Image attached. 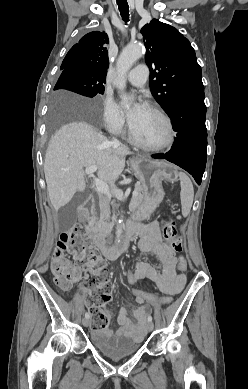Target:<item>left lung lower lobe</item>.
I'll return each mask as SVG.
<instances>
[{
    "label": "left lung lower lobe",
    "instance_id": "obj_1",
    "mask_svg": "<svg viewBox=\"0 0 248 389\" xmlns=\"http://www.w3.org/2000/svg\"><path fill=\"white\" fill-rule=\"evenodd\" d=\"M168 116L173 121L177 137L169 152L152 157L166 159L180 166L200 184L207 160L204 92L184 97L175 104Z\"/></svg>",
    "mask_w": 248,
    "mask_h": 389
}]
</instances>
